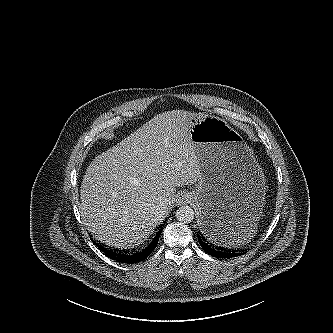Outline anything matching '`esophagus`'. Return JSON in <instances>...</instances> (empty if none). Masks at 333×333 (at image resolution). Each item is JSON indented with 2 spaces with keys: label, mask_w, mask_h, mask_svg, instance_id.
<instances>
[{
  "label": "esophagus",
  "mask_w": 333,
  "mask_h": 333,
  "mask_svg": "<svg viewBox=\"0 0 333 333\" xmlns=\"http://www.w3.org/2000/svg\"><path fill=\"white\" fill-rule=\"evenodd\" d=\"M190 199V196L187 193H181L177 196L176 203L178 205H182L186 202H188Z\"/></svg>",
  "instance_id": "obj_1"
}]
</instances>
